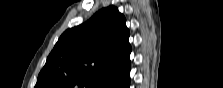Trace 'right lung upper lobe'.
<instances>
[{"instance_id": "right-lung-upper-lobe-1", "label": "right lung upper lobe", "mask_w": 223, "mask_h": 88, "mask_svg": "<svg viewBox=\"0 0 223 88\" xmlns=\"http://www.w3.org/2000/svg\"><path fill=\"white\" fill-rule=\"evenodd\" d=\"M129 30L116 7L66 30L47 58L35 88H120L130 80Z\"/></svg>"}]
</instances>
